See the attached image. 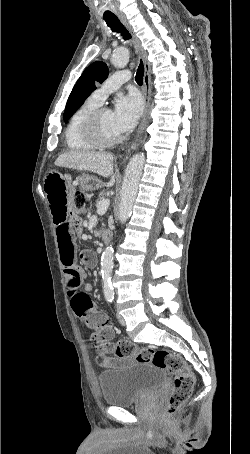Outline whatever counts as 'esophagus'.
Returning a JSON list of instances; mask_svg holds the SVG:
<instances>
[{
  "label": "esophagus",
  "instance_id": "esophagus-1",
  "mask_svg": "<svg viewBox=\"0 0 250 454\" xmlns=\"http://www.w3.org/2000/svg\"><path fill=\"white\" fill-rule=\"evenodd\" d=\"M118 18L122 22V24L126 27V29L131 33L133 42L140 53L143 62H144V68H145V73H144V78H143V93H144V102H145V110H144V115L143 119L140 123V126L138 128V136H140L146 127L147 123V118L149 114V108H150V96H151V66L150 63L148 62L147 59V52L144 50L142 47L141 41L139 38L136 36V34L133 31L132 26L130 25L129 21L124 15H118Z\"/></svg>",
  "mask_w": 250,
  "mask_h": 454
}]
</instances>
